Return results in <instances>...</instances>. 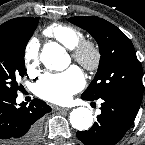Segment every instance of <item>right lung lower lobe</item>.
<instances>
[{"mask_svg": "<svg viewBox=\"0 0 145 145\" xmlns=\"http://www.w3.org/2000/svg\"><path fill=\"white\" fill-rule=\"evenodd\" d=\"M17 93L0 91V145H37L40 139L39 119L51 111L44 101L34 99L16 104Z\"/></svg>", "mask_w": 145, "mask_h": 145, "instance_id": "right-lung-lower-lobe-1", "label": "right lung lower lobe"}]
</instances>
